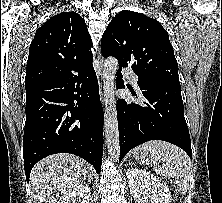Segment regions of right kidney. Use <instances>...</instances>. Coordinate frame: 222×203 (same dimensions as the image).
I'll list each match as a JSON object with an SVG mask.
<instances>
[{
  "label": "right kidney",
  "mask_w": 222,
  "mask_h": 203,
  "mask_svg": "<svg viewBox=\"0 0 222 203\" xmlns=\"http://www.w3.org/2000/svg\"><path fill=\"white\" fill-rule=\"evenodd\" d=\"M90 188L87 184H79L62 197L60 203H90Z\"/></svg>",
  "instance_id": "ca27d5eb"
}]
</instances>
